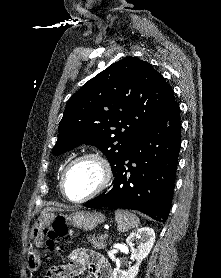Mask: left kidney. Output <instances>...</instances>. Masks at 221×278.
Segmentation results:
<instances>
[{"instance_id":"obj_1","label":"left kidney","mask_w":221,"mask_h":278,"mask_svg":"<svg viewBox=\"0 0 221 278\" xmlns=\"http://www.w3.org/2000/svg\"><path fill=\"white\" fill-rule=\"evenodd\" d=\"M126 242L137 263L127 271H122L119 267H116L113 271V278H135L137 276L142 260L148 256L154 245L155 232L150 227L139 228L128 236ZM134 242L137 244L136 247H134Z\"/></svg>"}]
</instances>
